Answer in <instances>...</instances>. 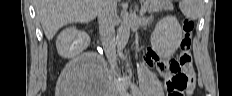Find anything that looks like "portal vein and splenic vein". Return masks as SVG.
I'll use <instances>...</instances> for the list:
<instances>
[{"instance_id":"portal-vein-and-splenic-vein-1","label":"portal vein and splenic vein","mask_w":232,"mask_h":96,"mask_svg":"<svg viewBox=\"0 0 232 96\" xmlns=\"http://www.w3.org/2000/svg\"><path fill=\"white\" fill-rule=\"evenodd\" d=\"M146 8H147V7H146V6H144V7L142 8V10H141V12H140V13H141V14H144V13H145V11H146Z\"/></svg>"}]
</instances>
